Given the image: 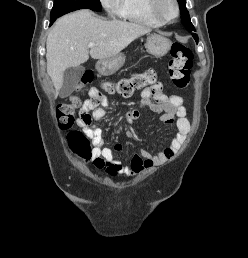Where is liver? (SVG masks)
<instances>
[{"label": "liver", "mask_w": 248, "mask_h": 258, "mask_svg": "<svg viewBox=\"0 0 248 258\" xmlns=\"http://www.w3.org/2000/svg\"><path fill=\"white\" fill-rule=\"evenodd\" d=\"M151 29L126 21H106L83 9L59 18L47 37V73L58 95L66 69L89 59L113 57ZM89 43L96 46L89 48Z\"/></svg>", "instance_id": "6515ba94"}]
</instances>
